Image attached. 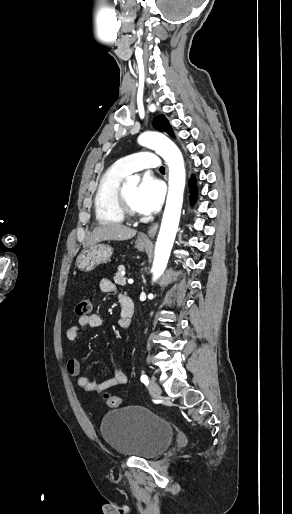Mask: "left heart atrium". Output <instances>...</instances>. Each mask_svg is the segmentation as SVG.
Segmentation results:
<instances>
[{"label": "left heart atrium", "mask_w": 292, "mask_h": 514, "mask_svg": "<svg viewBox=\"0 0 292 514\" xmlns=\"http://www.w3.org/2000/svg\"><path fill=\"white\" fill-rule=\"evenodd\" d=\"M163 197L162 182L150 173L144 174L136 191L139 210L144 213L156 212L162 204Z\"/></svg>", "instance_id": "39dd6f15"}]
</instances>
